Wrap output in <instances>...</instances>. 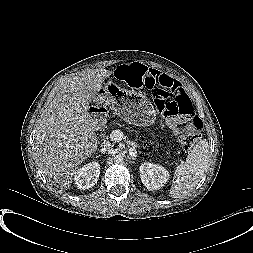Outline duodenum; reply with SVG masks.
<instances>
[{
  "label": "duodenum",
  "mask_w": 253,
  "mask_h": 253,
  "mask_svg": "<svg viewBox=\"0 0 253 253\" xmlns=\"http://www.w3.org/2000/svg\"><path fill=\"white\" fill-rule=\"evenodd\" d=\"M90 115L93 124L96 126H103L106 118V110L102 107H92L90 109Z\"/></svg>",
  "instance_id": "1"
}]
</instances>
